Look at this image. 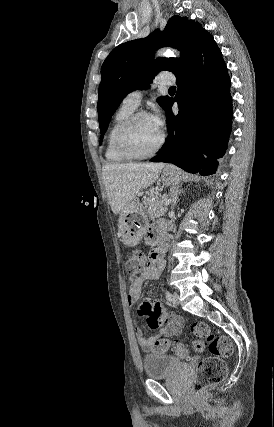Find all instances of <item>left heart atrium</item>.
<instances>
[{"label":"left heart atrium","instance_id":"obj_1","mask_svg":"<svg viewBox=\"0 0 274 427\" xmlns=\"http://www.w3.org/2000/svg\"><path fill=\"white\" fill-rule=\"evenodd\" d=\"M154 125L162 131L163 129V120L159 114H153L150 116Z\"/></svg>","mask_w":274,"mask_h":427}]
</instances>
